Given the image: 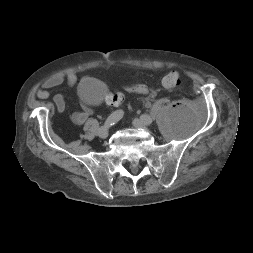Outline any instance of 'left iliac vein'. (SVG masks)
I'll list each match as a JSON object with an SVG mask.
<instances>
[{
	"instance_id": "left-iliac-vein-1",
	"label": "left iliac vein",
	"mask_w": 253,
	"mask_h": 253,
	"mask_svg": "<svg viewBox=\"0 0 253 253\" xmlns=\"http://www.w3.org/2000/svg\"><path fill=\"white\" fill-rule=\"evenodd\" d=\"M148 122H153V119L150 117L148 119ZM132 125L135 127V128H144L146 129V126H148L149 124H147L146 122H144L143 120L141 119H134L132 121Z\"/></svg>"
}]
</instances>
